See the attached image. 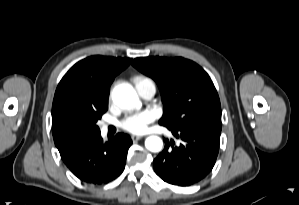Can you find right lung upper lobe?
<instances>
[{
  "instance_id": "cb5924a9",
  "label": "right lung upper lobe",
  "mask_w": 299,
  "mask_h": 205,
  "mask_svg": "<svg viewBox=\"0 0 299 205\" xmlns=\"http://www.w3.org/2000/svg\"><path fill=\"white\" fill-rule=\"evenodd\" d=\"M132 61L130 58L91 56L76 63L60 81L52 105V132L59 152L55 128L69 109H84L108 104L109 87L115 76Z\"/></svg>"
}]
</instances>
